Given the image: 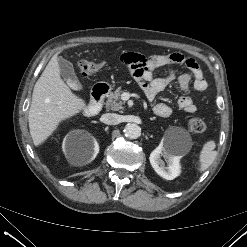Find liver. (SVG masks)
Returning <instances> with one entry per match:
<instances>
[{
  "label": "liver",
  "instance_id": "obj_1",
  "mask_svg": "<svg viewBox=\"0 0 247 247\" xmlns=\"http://www.w3.org/2000/svg\"><path fill=\"white\" fill-rule=\"evenodd\" d=\"M57 56L58 53L50 59L32 93L28 122L36 146L52 135L61 122L86 107L85 101L75 95L61 79Z\"/></svg>",
  "mask_w": 247,
  "mask_h": 247
}]
</instances>
